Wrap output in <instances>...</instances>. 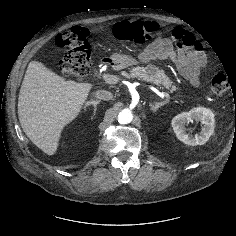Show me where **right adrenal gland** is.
Segmentation results:
<instances>
[{
  "label": "right adrenal gland",
  "instance_id": "2a0ac1e0",
  "mask_svg": "<svg viewBox=\"0 0 236 236\" xmlns=\"http://www.w3.org/2000/svg\"><path fill=\"white\" fill-rule=\"evenodd\" d=\"M100 103V100H91L89 102L86 103V107H89V106H93V115L95 114L96 112V107L97 105ZM93 118V116L91 117V119Z\"/></svg>",
  "mask_w": 236,
  "mask_h": 236
}]
</instances>
